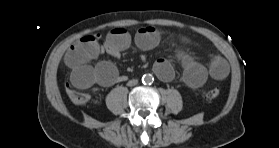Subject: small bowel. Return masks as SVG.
<instances>
[{"mask_svg": "<svg viewBox=\"0 0 279 148\" xmlns=\"http://www.w3.org/2000/svg\"><path fill=\"white\" fill-rule=\"evenodd\" d=\"M161 40L160 32L151 26L140 28L134 41L143 50L156 47ZM130 33L124 28H114L102 39L99 34L82 37L67 50L65 63L71 69V82L79 89H87L97 84L111 87L119 81L117 68L110 61H101L92 66L89 63L99 55L107 53L117 57L131 44ZM176 57L183 70V80L191 88L202 86L208 76L216 80L226 78L229 73L227 62L218 55L212 56L208 67L196 61L189 54L178 51ZM155 73L164 81L173 78L174 70L167 59H158L154 64Z\"/></svg>", "mask_w": 279, "mask_h": 148, "instance_id": "obj_1", "label": "small bowel"}]
</instances>
